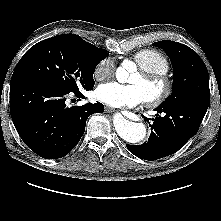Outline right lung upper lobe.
I'll return each instance as SVG.
<instances>
[{
  "instance_id": "right-lung-upper-lobe-1",
  "label": "right lung upper lobe",
  "mask_w": 221,
  "mask_h": 221,
  "mask_svg": "<svg viewBox=\"0 0 221 221\" xmlns=\"http://www.w3.org/2000/svg\"><path fill=\"white\" fill-rule=\"evenodd\" d=\"M71 35H74V34H71ZM74 36H77V37H79V38H81L80 36H78V35H74ZM82 39V38H81ZM86 42V41H85ZM88 43V42H87ZM91 47H93L94 49H96L98 52H100V53H102V54H108L104 49H100V48H97L96 46H94V45H92V44H90V43H88Z\"/></svg>"
}]
</instances>
